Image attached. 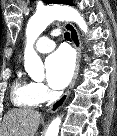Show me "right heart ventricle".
Instances as JSON below:
<instances>
[{
	"instance_id": "right-heart-ventricle-1",
	"label": "right heart ventricle",
	"mask_w": 117,
	"mask_h": 136,
	"mask_svg": "<svg viewBox=\"0 0 117 136\" xmlns=\"http://www.w3.org/2000/svg\"><path fill=\"white\" fill-rule=\"evenodd\" d=\"M11 96L13 103L22 108H32L41 102L36 92L35 83L21 77L14 80Z\"/></svg>"
}]
</instances>
